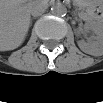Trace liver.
Listing matches in <instances>:
<instances>
[{"label":"liver","mask_w":103,"mask_h":103,"mask_svg":"<svg viewBox=\"0 0 103 103\" xmlns=\"http://www.w3.org/2000/svg\"><path fill=\"white\" fill-rule=\"evenodd\" d=\"M31 5L24 0L1 2V51L16 49L24 41L30 25Z\"/></svg>","instance_id":"liver-1"}]
</instances>
